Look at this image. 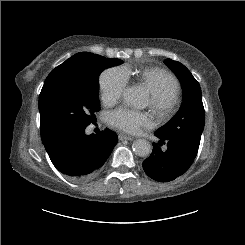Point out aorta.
<instances>
[{"label":"aorta","instance_id":"aorta-1","mask_svg":"<svg viewBox=\"0 0 245 245\" xmlns=\"http://www.w3.org/2000/svg\"><path fill=\"white\" fill-rule=\"evenodd\" d=\"M123 97L125 102L133 107L136 108H144L145 106V96L143 91L137 87H130L127 88L124 93ZM132 149L134 153L140 157H146L151 153V145L145 139H137L132 144Z\"/></svg>","mask_w":245,"mask_h":245}]
</instances>
